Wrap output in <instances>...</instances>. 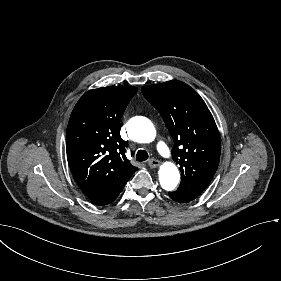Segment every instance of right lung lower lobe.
Returning a JSON list of instances; mask_svg holds the SVG:
<instances>
[{
	"label": "right lung lower lobe",
	"mask_w": 281,
	"mask_h": 281,
	"mask_svg": "<svg viewBox=\"0 0 281 281\" xmlns=\"http://www.w3.org/2000/svg\"><path fill=\"white\" fill-rule=\"evenodd\" d=\"M126 182L127 181L121 183L120 185H118L115 189H113L109 193H107L103 196H100V197L96 198L95 200H91V202L96 204V205H106V204L111 203L112 201H114L118 197V195L120 194V192L124 188Z\"/></svg>",
	"instance_id": "obj_1"
}]
</instances>
